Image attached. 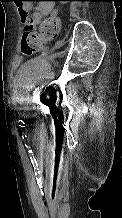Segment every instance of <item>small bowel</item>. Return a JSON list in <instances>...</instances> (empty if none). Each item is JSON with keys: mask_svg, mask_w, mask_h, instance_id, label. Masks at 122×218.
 Segmentation results:
<instances>
[{"mask_svg": "<svg viewBox=\"0 0 122 218\" xmlns=\"http://www.w3.org/2000/svg\"><path fill=\"white\" fill-rule=\"evenodd\" d=\"M50 0H42V3L38 7H36L33 11L31 9V6L29 4H24L21 7H19V13L21 19L23 18L22 12L26 11L27 14L32 13V16L34 17L35 21H39V19L42 16L45 15H55V11L53 9V5L50 3Z\"/></svg>", "mask_w": 122, "mask_h": 218, "instance_id": "obj_1", "label": "small bowel"}]
</instances>
